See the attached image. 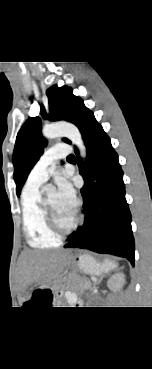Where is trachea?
Wrapping results in <instances>:
<instances>
[{
	"label": "trachea",
	"instance_id": "3493384b",
	"mask_svg": "<svg viewBox=\"0 0 152 369\" xmlns=\"http://www.w3.org/2000/svg\"><path fill=\"white\" fill-rule=\"evenodd\" d=\"M74 156L73 155H69L68 158H73Z\"/></svg>",
	"mask_w": 152,
	"mask_h": 369
}]
</instances>
